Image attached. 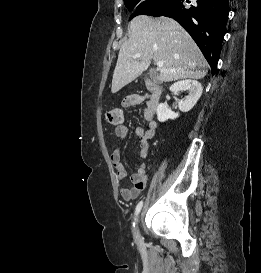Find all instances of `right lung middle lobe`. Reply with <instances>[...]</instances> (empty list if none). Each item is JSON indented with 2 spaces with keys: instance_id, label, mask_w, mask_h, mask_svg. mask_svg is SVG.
<instances>
[{
  "instance_id": "obj_1",
  "label": "right lung middle lobe",
  "mask_w": 261,
  "mask_h": 273,
  "mask_svg": "<svg viewBox=\"0 0 261 273\" xmlns=\"http://www.w3.org/2000/svg\"><path fill=\"white\" fill-rule=\"evenodd\" d=\"M171 0H124L129 11H135L131 18L137 15H150L156 9L167 4Z\"/></svg>"
}]
</instances>
